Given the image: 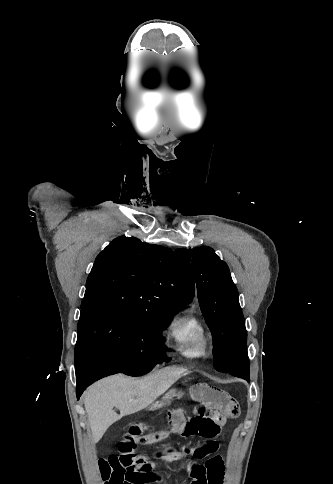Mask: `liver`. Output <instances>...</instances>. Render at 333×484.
Returning <instances> with one entry per match:
<instances>
[{
    "mask_svg": "<svg viewBox=\"0 0 333 484\" xmlns=\"http://www.w3.org/2000/svg\"><path fill=\"white\" fill-rule=\"evenodd\" d=\"M186 371L173 366L142 378L117 374L91 385L84 394V406L94 442L97 443L106 430L123 416L151 405ZM113 407L120 410V415L113 411Z\"/></svg>",
    "mask_w": 333,
    "mask_h": 484,
    "instance_id": "6515ba94",
    "label": "liver"
}]
</instances>
